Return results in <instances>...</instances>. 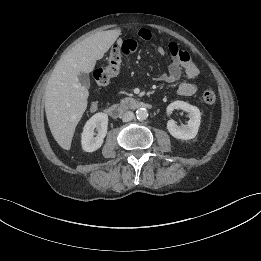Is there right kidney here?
<instances>
[{"instance_id": "ca27d5eb", "label": "right kidney", "mask_w": 261, "mask_h": 261, "mask_svg": "<svg viewBox=\"0 0 261 261\" xmlns=\"http://www.w3.org/2000/svg\"><path fill=\"white\" fill-rule=\"evenodd\" d=\"M95 128L97 135L94 137ZM108 115L102 112L93 115L85 124L81 134V144L86 152H94L99 149L107 135Z\"/></svg>"}]
</instances>
